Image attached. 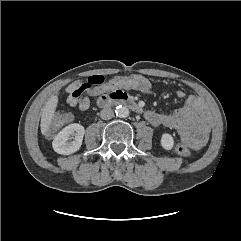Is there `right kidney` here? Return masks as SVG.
Wrapping results in <instances>:
<instances>
[{"label": "right kidney", "instance_id": "ca27d5eb", "mask_svg": "<svg viewBox=\"0 0 241 241\" xmlns=\"http://www.w3.org/2000/svg\"><path fill=\"white\" fill-rule=\"evenodd\" d=\"M84 133L85 129L80 124L75 123L66 126L55 136L52 142L54 151L63 155L78 151L82 145ZM71 139L73 140L69 141Z\"/></svg>", "mask_w": 241, "mask_h": 241}]
</instances>
